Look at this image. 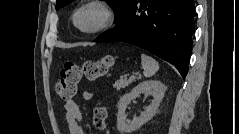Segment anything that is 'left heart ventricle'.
Segmentation results:
<instances>
[{
  "label": "left heart ventricle",
  "instance_id": "1",
  "mask_svg": "<svg viewBox=\"0 0 239 134\" xmlns=\"http://www.w3.org/2000/svg\"><path fill=\"white\" fill-rule=\"evenodd\" d=\"M101 19V14L96 9L84 10L78 18V22L83 28H92L96 26Z\"/></svg>",
  "mask_w": 239,
  "mask_h": 134
}]
</instances>
